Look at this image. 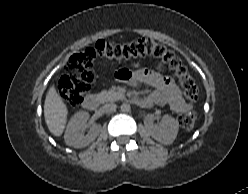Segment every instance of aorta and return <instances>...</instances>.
<instances>
[{
    "label": "aorta",
    "instance_id": "762f6f07",
    "mask_svg": "<svg viewBox=\"0 0 248 194\" xmlns=\"http://www.w3.org/2000/svg\"><path fill=\"white\" fill-rule=\"evenodd\" d=\"M131 110V107L128 103H123L121 105V111L124 112V113H127Z\"/></svg>",
    "mask_w": 248,
    "mask_h": 194
}]
</instances>
